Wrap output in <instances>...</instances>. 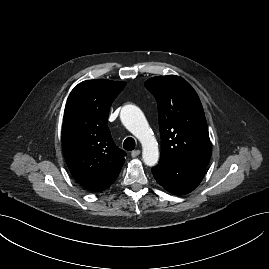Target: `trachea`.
Wrapping results in <instances>:
<instances>
[{
	"instance_id": "obj_1",
	"label": "trachea",
	"mask_w": 269,
	"mask_h": 269,
	"mask_svg": "<svg viewBox=\"0 0 269 269\" xmlns=\"http://www.w3.org/2000/svg\"><path fill=\"white\" fill-rule=\"evenodd\" d=\"M135 140L132 137H128L124 140L123 148L127 151H132L135 148Z\"/></svg>"
}]
</instances>
